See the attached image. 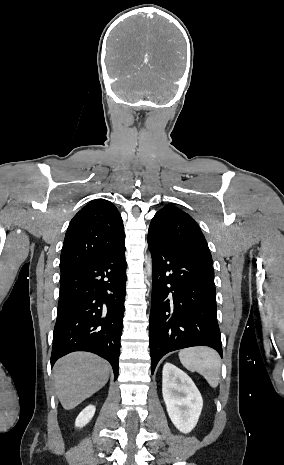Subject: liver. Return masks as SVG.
<instances>
[{
    "label": "liver",
    "instance_id": "6515ba94",
    "mask_svg": "<svg viewBox=\"0 0 284 465\" xmlns=\"http://www.w3.org/2000/svg\"><path fill=\"white\" fill-rule=\"evenodd\" d=\"M111 367L91 353H71L54 367L56 395L65 411L74 409L106 385Z\"/></svg>",
    "mask_w": 284,
    "mask_h": 465
}]
</instances>
